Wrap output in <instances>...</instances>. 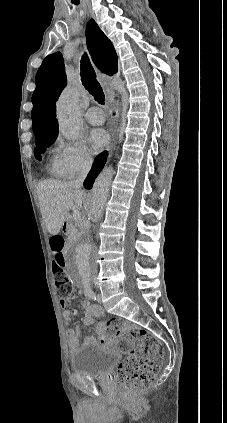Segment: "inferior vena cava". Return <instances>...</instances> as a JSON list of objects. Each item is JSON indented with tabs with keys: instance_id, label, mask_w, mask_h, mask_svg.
Segmentation results:
<instances>
[{
	"instance_id": "obj_1",
	"label": "inferior vena cava",
	"mask_w": 227,
	"mask_h": 423,
	"mask_svg": "<svg viewBox=\"0 0 227 423\" xmlns=\"http://www.w3.org/2000/svg\"><path fill=\"white\" fill-rule=\"evenodd\" d=\"M93 164V158L90 154H85L82 164L80 166V170H78V176L76 180H72L71 186L72 188H76V190H81V186H83V182Z\"/></svg>"
}]
</instances>
